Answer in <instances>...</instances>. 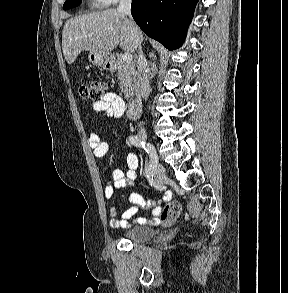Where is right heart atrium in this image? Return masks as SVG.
Returning <instances> with one entry per match:
<instances>
[{"mask_svg":"<svg viewBox=\"0 0 288 293\" xmlns=\"http://www.w3.org/2000/svg\"><path fill=\"white\" fill-rule=\"evenodd\" d=\"M120 0H103L106 5H111L119 2Z\"/></svg>","mask_w":288,"mask_h":293,"instance_id":"obj_1","label":"right heart atrium"}]
</instances>
